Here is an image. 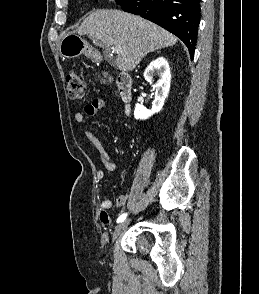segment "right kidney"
Wrapping results in <instances>:
<instances>
[{"label":"right kidney","instance_id":"1","mask_svg":"<svg viewBox=\"0 0 259 294\" xmlns=\"http://www.w3.org/2000/svg\"><path fill=\"white\" fill-rule=\"evenodd\" d=\"M158 75L159 79L154 86L155 99L152 103L151 110H148L141 104H136L134 117L136 119H147L151 115L158 113L164 105L165 99L170 90L171 72L169 64L164 57H158L153 60L144 72V78L150 84L154 81V76Z\"/></svg>","mask_w":259,"mask_h":294}]
</instances>
